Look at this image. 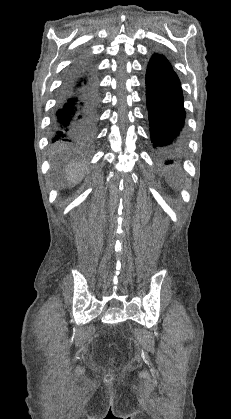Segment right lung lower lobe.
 <instances>
[{
    "mask_svg": "<svg viewBox=\"0 0 231 419\" xmlns=\"http://www.w3.org/2000/svg\"><path fill=\"white\" fill-rule=\"evenodd\" d=\"M97 98L96 87L89 79L86 66L72 69L58 97L52 141L74 147L90 144L95 133Z\"/></svg>",
    "mask_w": 231,
    "mask_h": 419,
    "instance_id": "1",
    "label": "right lung lower lobe"
}]
</instances>
